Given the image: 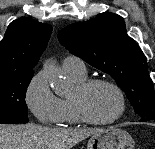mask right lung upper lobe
Masks as SVG:
<instances>
[{"label": "right lung upper lobe", "mask_w": 155, "mask_h": 149, "mask_svg": "<svg viewBox=\"0 0 155 149\" xmlns=\"http://www.w3.org/2000/svg\"><path fill=\"white\" fill-rule=\"evenodd\" d=\"M52 27L31 18L11 22L0 41V77L34 72L50 39Z\"/></svg>", "instance_id": "1"}]
</instances>
